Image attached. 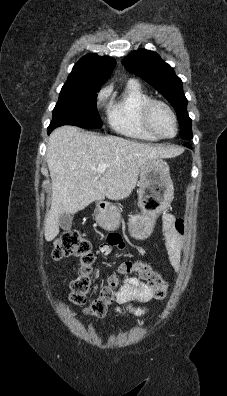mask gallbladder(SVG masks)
Here are the masks:
<instances>
[{
	"label": "gallbladder",
	"mask_w": 227,
	"mask_h": 396,
	"mask_svg": "<svg viewBox=\"0 0 227 396\" xmlns=\"http://www.w3.org/2000/svg\"><path fill=\"white\" fill-rule=\"evenodd\" d=\"M59 225L63 230H70L72 226V218L68 213H62L59 217Z\"/></svg>",
	"instance_id": "gallbladder-1"
}]
</instances>
